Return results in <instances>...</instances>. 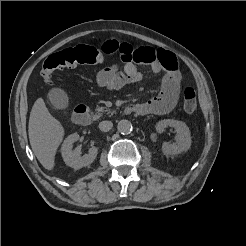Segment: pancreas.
<instances>
[{"label": "pancreas", "mask_w": 246, "mask_h": 246, "mask_svg": "<svg viewBox=\"0 0 246 246\" xmlns=\"http://www.w3.org/2000/svg\"><path fill=\"white\" fill-rule=\"evenodd\" d=\"M103 113L113 114L111 109L101 106L96 109V114L94 115V119L100 118L103 115Z\"/></svg>", "instance_id": "1"}]
</instances>
